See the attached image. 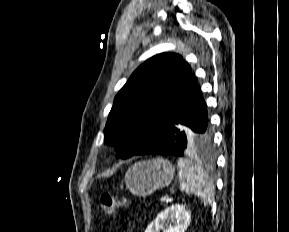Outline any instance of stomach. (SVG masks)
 I'll return each instance as SVG.
<instances>
[{"label":"stomach","instance_id":"1","mask_svg":"<svg viewBox=\"0 0 289 232\" xmlns=\"http://www.w3.org/2000/svg\"><path fill=\"white\" fill-rule=\"evenodd\" d=\"M174 173V166L163 158L137 162L126 172V189L134 195L147 196L168 186Z\"/></svg>","mask_w":289,"mask_h":232}]
</instances>
